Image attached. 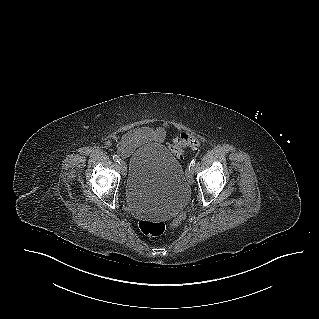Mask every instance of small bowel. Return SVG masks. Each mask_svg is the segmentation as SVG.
<instances>
[{
    "label": "small bowel",
    "instance_id": "small-bowel-1",
    "mask_svg": "<svg viewBox=\"0 0 319 319\" xmlns=\"http://www.w3.org/2000/svg\"><path fill=\"white\" fill-rule=\"evenodd\" d=\"M166 137L167 133L162 127L139 126L125 133L118 141L116 148L122 157H128L139 147L150 142L162 143Z\"/></svg>",
    "mask_w": 319,
    "mask_h": 319
}]
</instances>
